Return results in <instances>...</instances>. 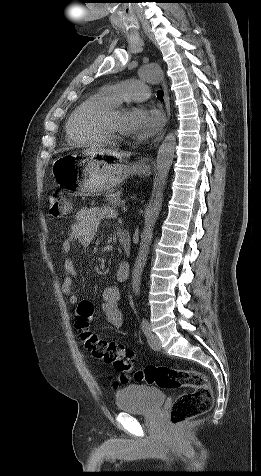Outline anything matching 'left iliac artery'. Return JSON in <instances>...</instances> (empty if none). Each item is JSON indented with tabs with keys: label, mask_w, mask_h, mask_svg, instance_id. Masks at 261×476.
Segmentation results:
<instances>
[{
	"label": "left iliac artery",
	"mask_w": 261,
	"mask_h": 476,
	"mask_svg": "<svg viewBox=\"0 0 261 476\" xmlns=\"http://www.w3.org/2000/svg\"><path fill=\"white\" fill-rule=\"evenodd\" d=\"M141 327L144 334L147 335L150 331V327L148 321L145 318L142 319Z\"/></svg>",
	"instance_id": "1"
}]
</instances>
